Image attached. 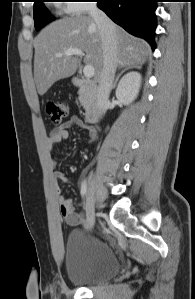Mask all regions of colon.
I'll return each instance as SVG.
<instances>
[{
  "instance_id": "obj_1",
  "label": "colon",
  "mask_w": 195,
  "mask_h": 299,
  "mask_svg": "<svg viewBox=\"0 0 195 299\" xmlns=\"http://www.w3.org/2000/svg\"><path fill=\"white\" fill-rule=\"evenodd\" d=\"M46 112L50 116L52 123L59 124L67 117L69 106L65 101L50 100L46 104Z\"/></svg>"
}]
</instances>
